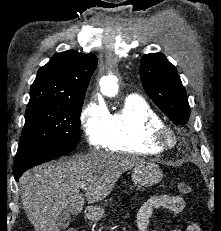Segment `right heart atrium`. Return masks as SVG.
I'll use <instances>...</instances> for the list:
<instances>
[{
	"instance_id": "obj_1",
	"label": "right heart atrium",
	"mask_w": 221,
	"mask_h": 231,
	"mask_svg": "<svg viewBox=\"0 0 221 231\" xmlns=\"http://www.w3.org/2000/svg\"><path fill=\"white\" fill-rule=\"evenodd\" d=\"M110 113L106 105L92 99L84 107L81 114V125L88 143L99 148L105 144Z\"/></svg>"
}]
</instances>
